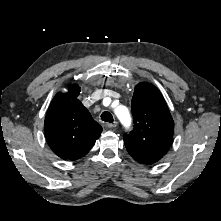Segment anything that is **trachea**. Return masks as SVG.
<instances>
[{
    "instance_id": "1",
    "label": "trachea",
    "mask_w": 221,
    "mask_h": 221,
    "mask_svg": "<svg viewBox=\"0 0 221 221\" xmlns=\"http://www.w3.org/2000/svg\"><path fill=\"white\" fill-rule=\"evenodd\" d=\"M101 119L103 121L109 122V123H112L114 121L112 114L110 112H107V111H105L101 114Z\"/></svg>"
}]
</instances>
